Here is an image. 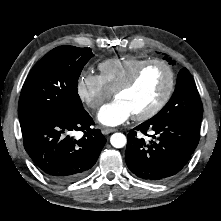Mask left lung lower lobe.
I'll use <instances>...</instances> for the list:
<instances>
[{"instance_id": "obj_1", "label": "left lung lower lobe", "mask_w": 221, "mask_h": 221, "mask_svg": "<svg viewBox=\"0 0 221 221\" xmlns=\"http://www.w3.org/2000/svg\"><path fill=\"white\" fill-rule=\"evenodd\" d=\"M147 131L154 132L150 141L137 136V132L147 135ZM199 137L200 128L180 118L168 115L153 117L127 135L126 164L141 179L165 181L187 164Z\"/></svg>"}]
</instances>
